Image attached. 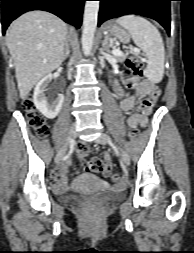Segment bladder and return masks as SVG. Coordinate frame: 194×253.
I'll use <instances>...</instances> for the list:
<instances>
[{"label":"bladder","mask_w":194,"mask_h":253,"mask_svg":"<svg viewBox=\"0 0 194 253\" xmlns=\"http://www.w3.org/2000/svg\"><path fill=\"white\" fill-rule=\"evenodd\" d=\"M92 198L101 202H110L117 200L121 197V193L113 190L102 191L91 195ZM76 196H64L62 197L63 202H72L76 200Z\"/></svg>","instance_id":"obj_1"}]
</instances>
